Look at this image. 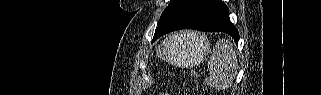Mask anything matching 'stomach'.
<instances>
[{
    "label": "stomach",
    "mask_w": 321,
    "mask_h": 95,
    "mask_svg": "<svg viewBox=\"0 0 321 95\" xmlns=\"http://www.w3.org/2000/svg\"><path fill=\"white\" fill-rule=\"evenodd\" d=\"M159 56L179 66H192L210 52V43L202 35L183 32L170 35L158 49Z\"/></svg>",
    "instance_id": "1"
}]
</instances>
